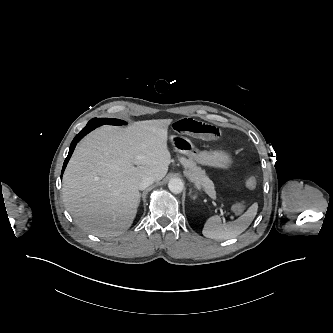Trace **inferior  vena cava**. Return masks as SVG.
I'll list each match as a JSON object with an SVG mask.
<instances>
[{"instance_id": "obj_1", "label": "inferior vena cava", "mask_w": 333, "mask_h": 333, "mask_svg": "<svg viewBox=\"0 0 333 333\" xmlns=\"http://www.w3.org/2000/svg\"><path fill=\"white\" fill-rule=\"evenodd\" d=\"M154 183V178L150 176L143 177L139 182V189L144 190Z\"/></svg>"}]
</instances>
